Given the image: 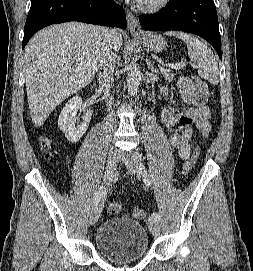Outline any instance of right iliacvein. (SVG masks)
Segmentation results:
<instances>
[{"label": "right iliac vein", "instance_id": "1", "mask_svg": "<svg viewBox=\"0 0 253 271\" xmlns=\"http://www.w3.org/2000/svg\"><path fill=\"white\" fill-rule=\"evenodd\" d=\"M120 153L118 151L112 150L109 152L108 155V162L105 168V172L103 175V180L106 185H109L110 182L113 179L114 172L116 170L117 162L119 161ZM104 206L103 198L100 200L94 207L92 208L91 214H90V224L94 225L101 214V211Z\"/></svg>", "mask_w": 253, "mask_h": 271}]
</instances>
